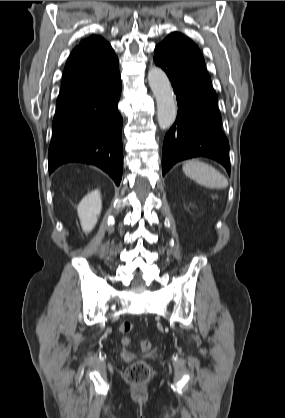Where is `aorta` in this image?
Wrapping results in <instances>:
<instances>
[{
    "instance_id": "762f6f07",
    "label": "aorta",
    "mask_w": 285,
    "mask_h": 418,
    "mask_svg": "<svg viewBox=\"0 0 285 418\" xmlns=\"http://www.w3.org/2000/svg\"><path fill=\"white\" fill-rule=\"evenodd\" d=\"M149 86L157 102L158 124L162 129L172 126L177 115V106L171 83L165 72L152 67L148 72Z\"/></svg>"
}]
</instances>
